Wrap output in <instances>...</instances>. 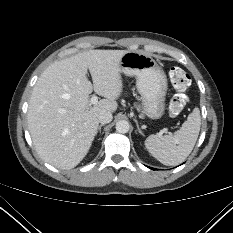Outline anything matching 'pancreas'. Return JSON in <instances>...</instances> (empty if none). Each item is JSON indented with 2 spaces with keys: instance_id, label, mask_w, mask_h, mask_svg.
<instances>
[{
  "instance_id": "obj_1",
  "label": "pancreas",
  "mask_w": 233,
  "mask_h": 233,
  "mask_svg": "<svg viewBox=\"0 0 233 233\" xmlns=\"http://www.w3.org/2000/svg\"><path fill=\"white\" fill-rule=\"evenodd\" d=\"M137 110H138V111H140V110H141V109H140V106H137Z\"/></svg>"
}]
</instances>
